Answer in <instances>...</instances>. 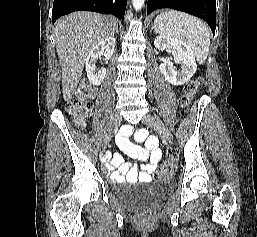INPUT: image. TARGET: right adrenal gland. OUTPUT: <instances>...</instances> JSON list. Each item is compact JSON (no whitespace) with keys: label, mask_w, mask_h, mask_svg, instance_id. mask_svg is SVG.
<instances>
[{"label":"right adrenal gland","mask_w":257,"mask_h":237,"mask_svg":"<svg viewBox=\"0 0 257 237\" xmlns=\"http://www.w3.org/2000/svg\"><path fill=\"white\" fill-rule=\"evenodd\" d=\"M116 33H117V34H119V31H118V29L116 30Z\"/></svg>","instance_id":"obj_1"}]
</instances>
